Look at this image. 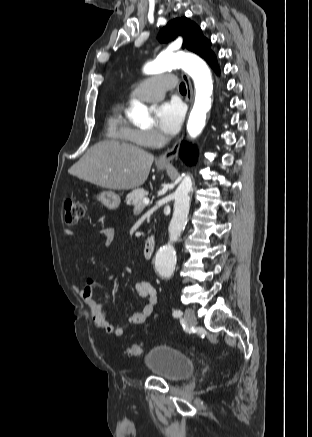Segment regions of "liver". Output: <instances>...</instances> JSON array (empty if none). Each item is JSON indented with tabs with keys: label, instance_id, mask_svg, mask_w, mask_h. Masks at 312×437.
<instances>
[{
	"label": "liver",
	"instance_id": "1",
	"mask_svg": "<svg viewBox=\"0 0 312 437\" xmlns=\"http://www.w3.org/2000/svg\"><path fill=\"white\" fill-rule=\"evenodd\" d=\"M153 161L154 156L138 146L105 140L94 144L68 172L103 188L128 190L146 181Z\"/></svg>",
	"mask_w": 312,
	"mask_h": 437
}]
</instances>
